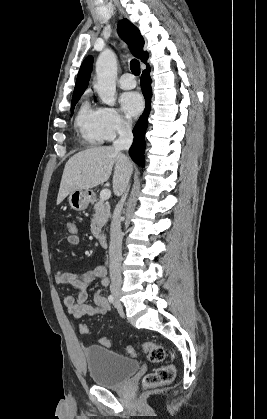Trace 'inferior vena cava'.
Listing matches in <instances>:
<instances>
[{"mask_svg": "<svg viewBox=\"0 0 267 419\" xmlns=\"http://www.w3.org/2000/svg\"><path fill=\"white\" fill-rule=\"evenodd\" d=\"M132 124L130 121H122L121 126L118 128L117 132L119 137L113 142V147L117 151L129 150L133 142L132 134ZM131 176V171H129L122 183L120 189L121 199L118 202L113 219L111 222L110 228V246H109V270L111 278V290L120 289L122 278H121V262H122V239L123 234L121 231V211L124 205V202L127 197V192L129 189V179Z\"/></svg>", "mask_w": 267, "mask_h": 419, "instance_id": "inferior-vena-cava-1", "label": "inferior vena cava"}]
</instances>
